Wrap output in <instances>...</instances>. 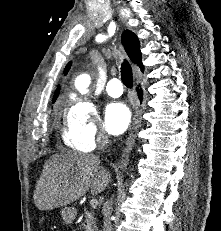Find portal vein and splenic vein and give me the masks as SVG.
<instances>
[{
  "instance_id": "portal-vein-and-splenic-vein-1",
  "label": "portal vein and splenic vein",
  "mask_w": 221,
  "mask_h": 231,
  "mask_svg": "<svg viewBox=\"0 0 221 231\" xmlns=\"http://www.w3.org/2000/svg\"><path fill=\"white\" fill-rule=\"evenodd\" d=\"M90 205H91L92 207H96V206L98 205V200H97V199H92V200L90 201Z\"/></svg>"
}]
</instances>
